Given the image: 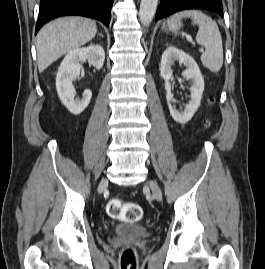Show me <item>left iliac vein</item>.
Masks as SVG:
<instances>
[{
	"label": "left iliac vein",
	"mask_w": 265,
	"mask_h": 269,
	"mask_svg": "<svg viewBox=\"0 0 265 269\" xmlns=\"http://www.w3.org/2000/svg\"><path fill=\"white\" fill-rule=\"evenodd\" d=\"M146 186L149 187L153 193V196L158 200L161 201L162 200V193L161 190L158 186V184L154 181H148L146 183Z\"/></svg>",
	"instance_id": "obj_1"
}]
</instances>
